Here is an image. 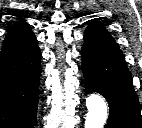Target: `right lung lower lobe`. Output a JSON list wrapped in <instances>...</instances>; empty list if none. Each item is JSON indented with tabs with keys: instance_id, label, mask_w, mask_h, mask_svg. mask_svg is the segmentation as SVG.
<instances>
[{
	"instance_id": "98d812e1",
	"label": "right lung lower lobe",
	"mask_w": 142,
	"mask_h": 128,
	"mask_svg": "<svg viewBox=\"0 0 142 128\" xmlns=\"http://www.w3.org/2000/svg\"><path fill=\"white\" fill-rule=\"evenodd\" d=\"M40 57L36 41L23 52L0 61V128L37 125Z\"/></svg>"
}]
</instances>
